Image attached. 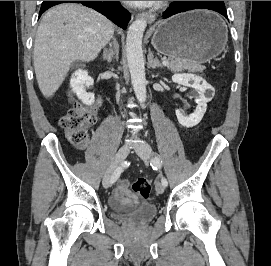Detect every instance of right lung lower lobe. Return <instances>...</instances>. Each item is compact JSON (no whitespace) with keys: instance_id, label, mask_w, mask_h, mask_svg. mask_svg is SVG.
<instances>
[{"instance_id":"obj_1","label":"right lung lower lobe","mask_w":271,"mask_h":266,"mask_svg":"<svg viewBox=\"0 0 271 266\" xmlns=\"http://www.w3.org/2000/svg\"><path fill=\"white\" fill-rule=\"evenodd\" d=\"M67 2L81 3L87 7L93 8L124 30L131 18L129 12L121 6L119 1H43L39 14L41 16L48 8Z\"/></svg>"}]
</instances>
